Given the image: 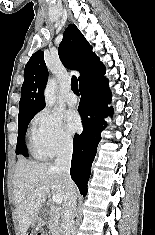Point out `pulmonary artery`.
Here are the masks:
<instances>
[{
	"instance_id": "1",
	"label": "pulmonary artery",
	"mask_w": 155,
	"mask_h": 235,
	"mask_svg": "<svg viewBox=\"0 0 155 235\" xmlns=\"http://www.w3.org/2000/svg\"><path fill=\"white\" fill-rule=\"evenodd\" d=\"M65 100L69 106H75L78 103L77 96L73 92H68Z\"/></svg>"
}]
</instances>
